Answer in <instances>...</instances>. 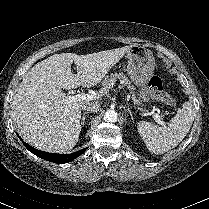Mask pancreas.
<instances>
[{
	"instance_id": "pancreas-1",
	"label": "pancreas",
	"mask_w": 209,
	"mask_h": 209,
	"mask_svg": "<svg viewBox=\"0 0 209 209\" xmlns=\"http://www.w3.org/2000/svg\"><path fill=\"white\" fill-rule=\"evenodd\" d=\"M117 80L124 82V84L132 93L133 101L138 104L139 100L136 99L134 93L132 92L134 90V87L131 85L130 80L123 73H112L110 74V76L105 77V79L102 82L103 87L100 92L103 94L108 93Z\"/></svg>"
}]
</instances>
